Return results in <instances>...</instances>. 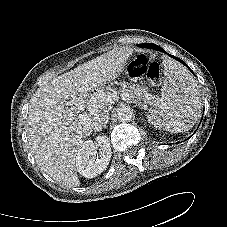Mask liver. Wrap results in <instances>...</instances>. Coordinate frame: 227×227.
<instances>
[{"instance_id": "1", "label": "liver", "mask_w": 227, "mask_h": 227, "mask_svg": "<svg viewBox=\"0 0 227 227\" xmlns=\"http://www.w3.org/2000/svg\"><path fill=\"white\" fill-rule=\"evenodd\" d=\"M131 52L114 48L54 78L30 100L26 131L31 153L41 170L65 187L80 185L76 156L92 132L93 117L111 102L101 87L121 74ZM85 108L92 115L89 124L74 126Z\"/></svg>"}]
</instances>
